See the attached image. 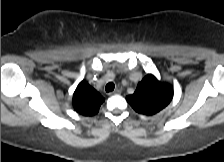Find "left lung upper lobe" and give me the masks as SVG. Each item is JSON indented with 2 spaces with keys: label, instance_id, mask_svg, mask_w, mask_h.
I'll return each instance as SVG.
<instances>
[{
  "label": "left lung upper lobe",
  "instance_id": "left-lung-upper-lobe-1",
  "mask_svg": "<svg viewBox=\"0 0 224 162\" xmlns=\"http://www.w3.org/2000/svg\"><path fill=\"white\" fill-rule=\"evenodd\" d=\"M172 97L173 88L169 84L161 83L152 74H148L126 100L136 112L153 115L165 108Z\"/></svg>",
  "mask_w": 224,
  "mask_h": 162
}]
</instances>
